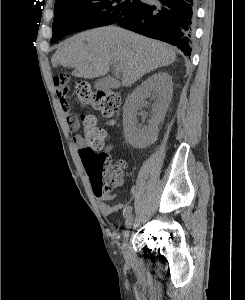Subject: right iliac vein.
I'll use <instances>...</instances> for the list:
<instances>
[{
  "mask_svg": "<svg viewBox=\"0 0 245 300\" xmlns=\"http://www.w3.org/2000/svg\"><path fill=\"white\" fill-rule=\"evenodd\" d=\"M133 221H134V215L133 214H130L127 219H126V226L127 227H131L132 224H133ZM128 237H129V231H124L123 233V244H122V249H123V254L126 256L127 255V251H126V248H127V240H128Z\"/></svg>",
  "mask_w": 245,
  "mask_h": 300,
  "instance_id": "obj_1",
  "label": "right iliac vein"
}]
</instances>
